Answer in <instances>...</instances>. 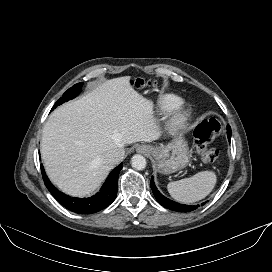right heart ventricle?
<instances>
[{
	"instance_id": "e07e8e85",
	"label": "right heart ventricle",
	"mask_w": 272,
	"mask_h": 272,
	"mask_svg": "<svg viewBox=\"0 0 272 272\" xmlns=\"http://www.w3.org/2000/svg\"><path fill=\"white\" fill-rule=\"evenodd\" d=\"M183 103V100L181 97L174 95V94H168L163 96L159 102H158V110L161 113H169L174 111L177 107H179Z\"/></svg>"
}]
</instances>
